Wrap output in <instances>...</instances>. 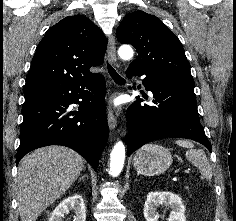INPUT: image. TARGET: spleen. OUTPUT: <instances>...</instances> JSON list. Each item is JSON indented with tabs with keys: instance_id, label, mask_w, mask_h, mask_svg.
Segmentation results:
<instances>
[{
	"instance_id": "obj_1",
	"label": "spleen",
	"mask_w": 236,
	"mask_h": 221,
	"mask_svg": "<svg viewBox=\"0 0 236 221\" xmlns=\"http://www.w3.org/2000/svg\"><path fill=\"white\" fill-rule=\"evenodd\" d=\"M175 143L178 146L187 148V159L196 167L199 168L202 178L210 180L212 177V170L206 154L203 150L194 149V144L189 140H176Z\"/></svg>"
}]
</instances>
